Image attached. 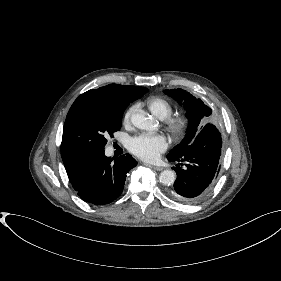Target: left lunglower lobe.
Returning a JSON list of instances; mask_svg holds the SVG:
<instances>
[{
  "mask_svg": "<svg viewBox=\"0 0 281 281\" xmlns=\"http://www.w3.org/2000/svg\"><path fill=\"white\" fill-rule=\"evenodd\" d=\"M221 148V134L214 125L207 124L182 156H167L168 161L180 163L173 167L177 179L171 190L172 195L185 203H195L204 198L218 176Z\"/></svg>",
  "mask_w": 281,
  "mask_h": 281,
  "instance_id": "left-lung-lower-lobe-1",
  "label": "left lung lower lobe"
}]
</instances>
